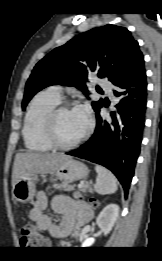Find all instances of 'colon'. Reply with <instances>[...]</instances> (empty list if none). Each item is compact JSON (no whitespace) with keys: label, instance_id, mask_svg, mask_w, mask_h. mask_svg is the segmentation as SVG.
Here are the masks:
<instances>
[{"label":"colon","instance_id":"colon-1","mask_svg":"<svg viewBox=\"0 0 162 261\" xmlns=\"http://www.w3.org/2000/svg\"><path fill=\"white\" fill-rule=\"evenodd\" d=\"M91 204L97 206L96 201H92ZM20 243L24 248H42L48 244L46 238L36 230L33 224H26L22 227Z\"/></svg>","mask_w":162,"mask_h":261}]
</instances>
